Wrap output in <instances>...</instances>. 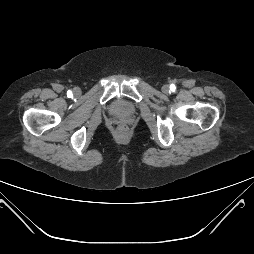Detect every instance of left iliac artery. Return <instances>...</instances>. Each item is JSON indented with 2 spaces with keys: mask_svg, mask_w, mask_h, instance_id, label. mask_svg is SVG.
I'll use <instances>...</instances> for the list:
<instances>
[{
  "mask_svg": "<svg viewBox=\"0 0 254 254\" xmlns=\"http://www.w3.org/2000/svg\"><path fill=\"white\" fill-rule=\"evenodd\" d=\"M170 90H171V91H174V90H175V85H174V84H171V85H170Z\"/></svg>",
  "mask_w": 254,
  "mask_h": 254,
  "instance_id": "44dca946",
  "label": "left iliac artery"
}]
</instances>
